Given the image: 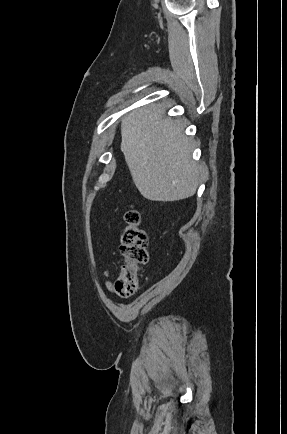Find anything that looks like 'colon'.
Listing matches in <instances>:
<instances>
[{
  "label": "colon",
  "instance_id": "1",
  "mask_svg": "<svg viewBox=\"0 0 287 434\" xmlns=\"http://www.w3.org/2000/svg\"><path fill=\"white\" fill-rule=\"evenodd\" d=\"M124 220L120 244L124 265L118 274L114 289L121 297H131L140 286V267L149 261L148 237L137 209L129 208L125 212Z\"/></svg>",
  "mask_w": 287,
  "mask_h": 434
}]
</instances>
